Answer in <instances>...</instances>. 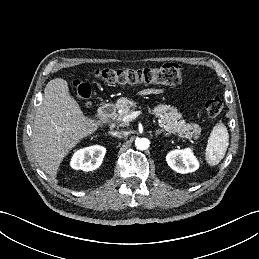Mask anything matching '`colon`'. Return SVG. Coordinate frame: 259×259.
Returning <instances> with one entry per match:
<instances>
[{
	"label": "colon",
	"mask_w": 259,
	"mask_h": 259,
	"mask_svg": "<svg viewBox=\"0 0 259 259\" xmlns=\"http://www.w3.org/2000/svg\"><path fill=\"white\" fill-rule=\"evenodd\" d=\"M94 76L111 85H146V84H166L176 85L182 81V68L176 63H166L158 67L146 68H99L94 71ZM78 97L90 104L91 88L82 82L74 83ZM223 108L220 97L215 96L205 103V111L210 119L219 116Z\"/></svg>",
	"instance_id": "1"
}]
</instances>
